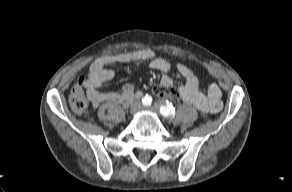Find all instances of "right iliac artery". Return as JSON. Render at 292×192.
I'll return each instance as SVG.
<instances>
[{
    "mask_svg": "<svg viewBox=\"0 0 292 192\" xmlns=\"http://www.w3.org/2000/svg\"><path fill=\"white\" fill-rule=\"evenodd\" d=\"M142 103L144 106H150L151 103H152V97L149 96V95H145L143 98H142Z\"/></svg>",
    "mask_w": 292,
    "mask_h": 192,
    "instance_id": "1",
    "label": "right iliac artery"
}]
</instances>
